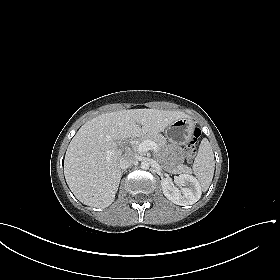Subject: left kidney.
<instances>
[{
  "instance_id": "1",
  "label": "left kidney",
  "mask_w": 280,
  "mask_h": 280,
  "mask_svg": "<svg viewBox=\"0 0 280 280\" xmlns=\"http://www.w3.org/2000/svg\"><path fill=\"white\" fill-rule=\"evenodd\" d=\"M180 189L171 179H163L161 182L163 194L167 199L180 206L196 203L202 194L198 180L189 174H180L176 181Z\"/></svg>"
}]
</instances>
